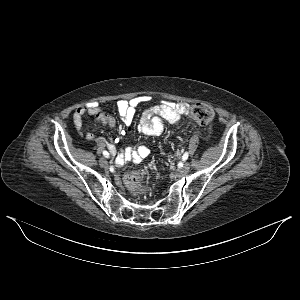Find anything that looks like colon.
<instances>
[{"instance_id": "obj_1", "label": "colon", "mask_w": 300, "mask_h": 300, "mask_svg": "<svg viewBox=\"0 0 300 300\" xmlns=\"http://www.w3.org/2000/svg\"><path fill=\"white\" fill-rule=\"evenodd\" d=\"M191 117L200 125H207L212 122L214 112L210 106L204 103H196L192 106ZM125 185L132 192L139 194L146 191L144 179L135 172L128 173L125 177Z\"/></svg>"}]
</instances>
